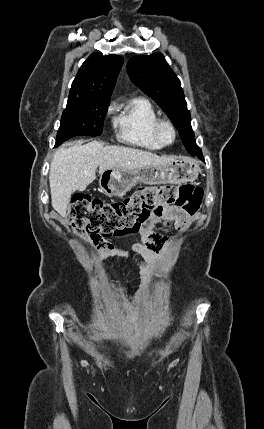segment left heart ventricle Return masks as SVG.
Segmentation results:
<instances>
[{"label":"left heart ventricle","instance_id":"1","mask_svg":"<svg viewBox=\"0 0 264 429\" xmlns=\"http://www.w3.org/2000/svg\"><path fill=\"white\" fill-rule=\"evenodd\" d=\"M162 135L165 140L170 141L172 139L171 130L168 127H165L162 131Z\"/></svg>","mask_w":264,"mask_h":429}]
</instances>
